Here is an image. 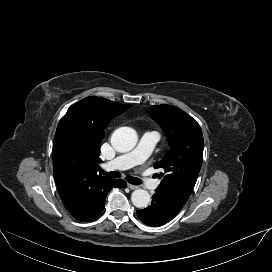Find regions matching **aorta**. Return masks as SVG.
Returning a JSON list of instances; mask_svg holds the SVG:
<instances>
[{
	"label": "aorta",
	"mask_w": 272,
	"mask_h": 272,
	"mask_svg": "<svg viewBox=\"0 0 272 272\" xmlns=\"http://www.w3.org/2000/svg\"><path fill=\"white\" fill-rule=\"evenodd\" d=\"M137 143V133L131 127H120L111 136V145L121 153L131 151ZM131 201L137 208H146L150 203V195L146 190L137 189L131 195Z\"/></svg>",
	"instance_id": "1"
}]
</instances>
